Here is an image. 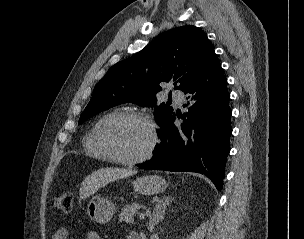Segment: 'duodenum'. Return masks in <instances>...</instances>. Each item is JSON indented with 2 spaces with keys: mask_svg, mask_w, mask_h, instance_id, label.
Wrapping results in <instances>:
<instances>
[{
  "mask_svg": "<svg viewBox=\"0 0 304 239\" xmlns=\"http://www.w3.org/2000/svg\"><path fill=\"white\" fill-rule=\"evenodd\" d=\"M131 239H141L140 236L138 234H134Z\"/></svg>",
  "mask_w": 304,
  "mask_h": 239,
  "instance_id": "410a0bca",
  "label": "duodenum"
}]
</instances>
